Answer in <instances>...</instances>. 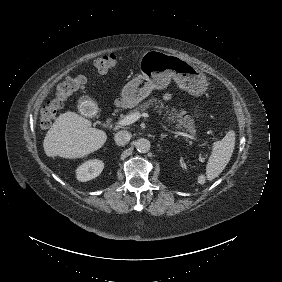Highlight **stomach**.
<instances>
[{
	"instance_id": "stomach-1",
	"label": "stomach",
	"mask_w": 282,
	"mask_h": 282,
	"mask_svg": "<svg viewBox=\"0 0 282 282\" xmlns=\"http://www.w3.org/2000/svg\"><path fill=\"white\" fill-rule=\"evenodd\" d=\"M141 75L129 81L122 89V103L135 107L154 89L166 88L173 79L179 88L194 96L203 94L208 86L206 76L194 65L176 55L158 50L145 52L139 61Z\"/></svg>"
}]
</instances>
